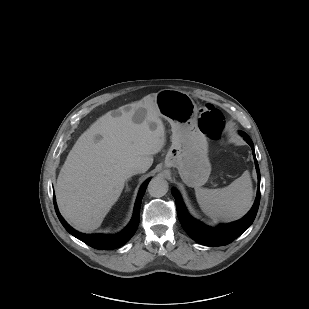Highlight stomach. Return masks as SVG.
<instances>
[{
    "label": "stomach",
    "mask_w": 309,
    "mask_h": 309,
    "mask_svg": "<svg viewBox=\"0 0 309 309\" xmlns=\"http://www.w3.org/2000/svg\"><path fill=\"white\" fill-rule=\"evenodd\" d=\"M160 116L172 130V145L165 167H176L183 182L190 187L206 183L211 172L208 143L198 128V109L193 99L176 89H163L156 94Z\"/></svg>",
    "instance_id": "1"
}]
</instances>
